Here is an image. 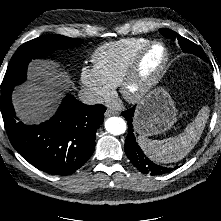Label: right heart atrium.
<instances>
[{
    "mask_svg": "<svg viewBox=\"0 0 221 221\" xmlns=\"http://www.w3.org/2000/svg\"><path fill=\"white\" fill-rule=\"evenodd\" d=\"M80 82L90 100L100 102L109 98L114 87L107 83L94 67L82 66Z\"/></svg>",
    "mask_w": 221,
    "mask_h": 221,
    "instance_id": "1",
    "label": "right heart atrium"
}]
</instances>
